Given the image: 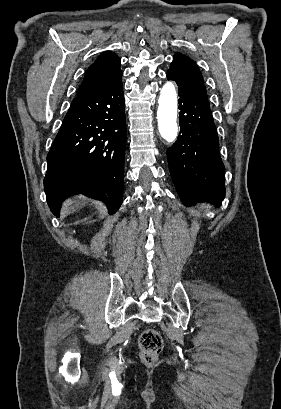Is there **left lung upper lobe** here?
<instances>
[{"label": "left lung upper lobe", "instance_id": "obj_1", "mask_svg": "<svg viewBox=\"0 0 281 409\" xmlns=\"http://www.w3.org/2000/svg\"><path fill=\"white\" fill-rule=\"evenodd\" d=\"M168 71L207 96L202 75L195 62L189 57L176 53Z\"/></svg>", "mask_w": 281, "mask_h": 409}]
</instances>
